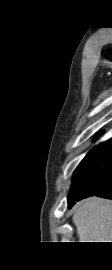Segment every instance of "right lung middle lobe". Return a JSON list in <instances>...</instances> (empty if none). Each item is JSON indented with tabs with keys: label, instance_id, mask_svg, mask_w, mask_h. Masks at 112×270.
Masks as SVG:
<instances>
[{
	"label": "right lung middle lobe",
	"instance_id": "1",
	"mask_svg": "<svg viewBox=\"0 0 112 270\" xmlns=\"http://www.w3.org/2000/svg\"><path fill=\"white\" fill-rule=\"evenodd\" d=\"M111 147L112 139L95 146L85 156L74 173L72 180L73 184L68 195V201L75 200L77 197H80L85 193L84 187L82 185V179L86 175L93 172L101 164Z\"/></svg>",
	"mask_w": 112,
	"mask_h": 270
}]
</instances>
